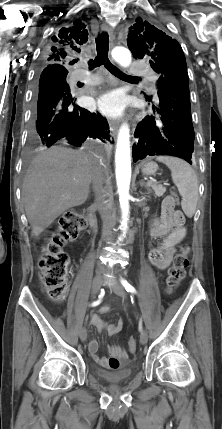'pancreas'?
<instances>
[{"label":"pancreas","instance_id":"pancreas-1","mask_svg":"<svg viewBox=\"0 0 222 429\" xmlns=\"http://www.w3.org/2000/svg\"><path fill=\"white\" fill-rule=\"evenodd\" d=\"M148 187H150L154 191L156 197L163 196L166 191V188L164 186L156 182L150 183Z\"/></svg>","mask_w":222,"mask_h":429}]
</instances>
